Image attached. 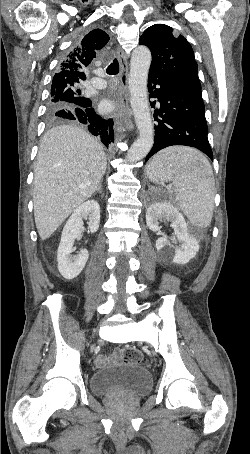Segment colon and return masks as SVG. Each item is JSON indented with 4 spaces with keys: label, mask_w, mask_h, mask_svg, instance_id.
<instances>
[{
    "label": "colon",
    "mask_w": 250,
    "mask_h": 454,
    "mask_svg": "<svg viewBox=\"0 0 250 454\" xmlns=\"http://www.w3.org/2000/svg\"><path fill=\"white\" fill-rule=\"evenodd\" d=\"M119 354L123 361L127 363L139 364L143 360L142 353L134 347L124 348Z\"/></svg>",
    "instance_id": "colon-1"
}]
</instances>
